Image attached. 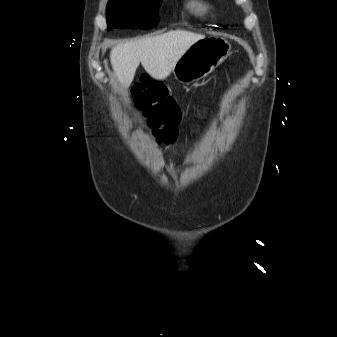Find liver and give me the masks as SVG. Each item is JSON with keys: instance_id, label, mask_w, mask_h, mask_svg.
<instances>
[{"instance_id": "liver-1", "label": "liver", "mask_w": 337, "mask_h": 337, "mask_svg": "<svg viewBox=\"0 0 337 337\" xmlns=\"http://www.w3.org/2000/svg\"><path fill=\"white\" fill-rule=\"evenodd\" d=\"M203 35L183 30L118 44L111 49L110 61L118 81L129 87L141 63L154 79H166L181 56Z\"/></svg>"}]
</instances>
